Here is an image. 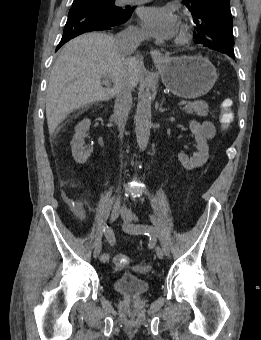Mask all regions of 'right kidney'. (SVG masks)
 Masks as SVG:
<instances>
[{
	"instance_id": "obj_1",
	"label": "right kidney",
	"mask_w": 261,
	"mask_h": 340,
	"mask_svg": "<svg viewBox=\"0 0 261 340\" xmlns=\"http://www.w3.org/2000/svg\"><path fill=\"white\" fill-rule=\"evenodd\" d=\"M91 121L84 119L77 124L75 128V134L71 141L72 155L74 160L79 164H84L90 157L93 149L85 145V137L90 129Z\"/></svg>"
}]
</instances>
